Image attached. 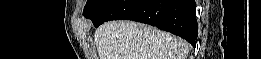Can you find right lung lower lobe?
<instances>
[{"mask_svg":"<svg viewBox=\"0 0 261 59\" xmlns=\"http://www.w3.org/2000/svg\"><path fill=\"white\" fill-rule=\"evenodd\" d=\"M89 19L96 27L109 20L138 21L176 34L193 47L197 41L195 0H115Z\"/></svg>","mask_w":261,"mask_h":59,"instance_id":"right-lung-lower-lobe-1","label":"right lung lower lobe"}]
</instances>
